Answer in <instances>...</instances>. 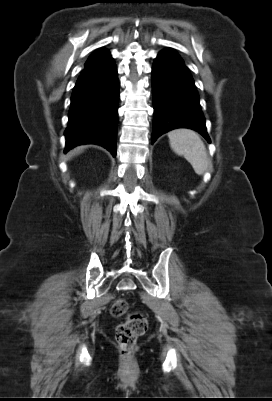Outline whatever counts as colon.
Returning a JSON list of instances; mask_svg holds the SVG:
<instances>
[{
  "mask_svg": "<svg viewBox=\"0 0 272 401\" xmlns=\"http://www.w3.org/2000/svg\"><path fill=\"white\" fill-rule=\"evenodd\" d=\"M110 312L115 317L127 313L126 320L116 329V341L122 355L128 357L132 353L138 338L146 332L147 319L138 311L128 312V302L123 297L114 300Z\"/></svg>",
  "mask_w": 272,
  "mask_h": 401,
  "instance_id": "1",
  "label": "colon"
}]
</instances>
